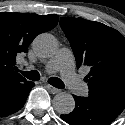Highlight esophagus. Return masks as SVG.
<instances>
[{"label": "esophagus", "instance_id": "obj_1", "mask_svg": "<svg viewBox=\"0 0 125 125\" xmlns=\"http://www.w3.org/2000/svg\"><path fill=\"white\" fill-rule=\"evenodd\" d=\"M47 88H48V90H49L52 94H57V93H59V92L61 91L60 89L55 88V87H53V86H51V85H49V84H47Z\"/></svg>", "mask_w": 125, "mask_h": 125}]
</instances>
